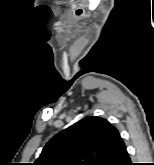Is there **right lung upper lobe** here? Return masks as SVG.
Here are the masks:
<instances>
[{"mask_svg":"<svg viewBox=\"0 0 154 165\" xmlns=\"http://www.w3.org/2000/svg\"><path fill=\"white\" fill-rule=\"evenodd\" d=\"M120 139L106 119L88 116L54 136L34 165H105Z\"/></svg>","mask_w":154,"mask_h":165,"instance_id":"obj_1","label":"right lung upper lobe"}]
</instances>
